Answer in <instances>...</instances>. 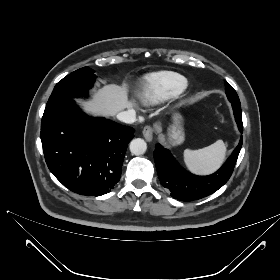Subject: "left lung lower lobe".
Returning <instances> with one entry per match:
<instances>
[{
    "mask_svg": "<svg viewBox=\"0 0 280 280\" xmlns=\"http://www.w3.org/2000/svg\"><path fill=\"white\" fill-rule=\"evenodd\" d=\"M232 107L236 123L242 133L241 106L232 103ZM241 147L242 136L238 146L217 172L209 176H196L181 168L167 149L156 145L154 161L159 180L163 187L171 191L170 195L179 201H192L209 196L220 189L231 177Z\"/></svg>",
    "mask_w": 280,
    "mask_h": 280,
    "instance_id": "1",
    "label": "left lung lower lobe"
}]
</instances>
